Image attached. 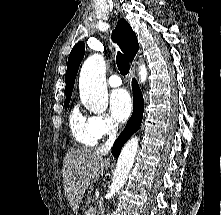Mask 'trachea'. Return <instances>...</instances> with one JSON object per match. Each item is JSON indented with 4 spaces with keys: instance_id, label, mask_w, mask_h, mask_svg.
<instances>
[{
    "instance_id": "3493384b",
    "label": "trachea",
    "mask_w": 221,
    "mask_h": 215,
    "mask_svg": "<svg viewBox=\"0 0 221 215\" xmlns=\"http://www.w3.org/2000/svg\"><path fill=\"white\" fill-rule=\"evenodd\" d=\"M116 63H117V67L120 71V73L122 75H126L129 72V62L126 59V57L121 54L120 52H118L117 56H116Z\"/></svg>"
}]
</instances>
